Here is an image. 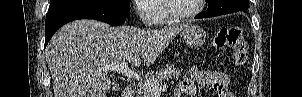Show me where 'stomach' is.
Wrapping results in <instances>:
<instances>
[{
  "mask_svg": "<svg viewBox=\"0 0 302 97\" xmlns=\"http://www.w3.org/2000/svg\"><path fill=\"white\" fill-rule=\"evenodd\" d=\"M181 37L189 47H198L205 42L206 33L200 26L190 24L184 27Z\"/></svg>",
  "mask_w": 302,
  "mask_h": 97,
  "instance_id": "stomach-1",
  "label": "stomach"
}]
</instances>
